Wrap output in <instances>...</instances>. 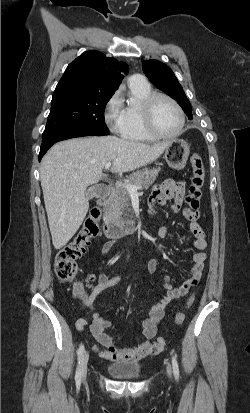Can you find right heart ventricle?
Returning a JSON list of instances; mask_svg holds the SVG:
<instances>
[{"label": "right heart ventricle", "instance_id": "e07e8e85", "mask_svg": "<svg viewBox=\"0 0 250 413\" xmlns=\"http://www.w3.org/2000/svg\"><path fill=\"white\" fill-rule=\"evenodd\" d=\"M129 90L135 99L134 103H129L123 107V120L121 136L130 141L150 142L152 138L145 130L142 117V103L145 98L153 92L152 87L145 81L143 83H130Z\"/></svg>", "mask_w": 250, "mask_h": 413}]
</instances>
